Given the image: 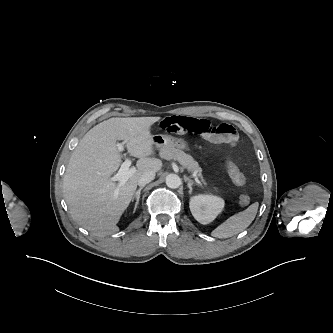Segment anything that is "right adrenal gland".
Returning <instances> with one entry per match:
<instances>
[{
  "label": "right adrenal gland",
  "instance_id": "2a0ac1e0",
  "mask_svg": "<svg viewBox=\"0 0 333 333\" xmlns=\"http://www.w3.org/2000/svg\"><path fill=\"white\" fill-rule=\"evenodd\" d=\"M144 186L140 187L135 193H134V196L132 197V202L134 201V199H136V202H135V207H134V212L136 211V208L139 204V199H140V194H141V191L143 190Z\"/></svg>",
  "mask_w": 333,
  "mask_h": 333
}]
</instances>
